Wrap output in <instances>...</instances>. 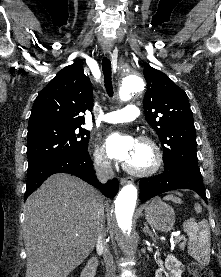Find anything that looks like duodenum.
I'll list each match as a JSON object with an SVG mask.
<instances>
[{
	"mask_svg": "<svg viewBox=\"0 0 221 277\" xmlns=\"http://www.w3.org/2000/svg\"><path fill=\"white\" fill-rule=\"evenodd\" d=\"M97 267L98 260L96 258L90 259L87 265L85 266L84 270L82 271L80 277H95Z\"/></svg>",
	"mask_w": 221,
	"mask_h": 277,
	"instance_id": "1",
	"label": "duodenum"
}]
</instances>
